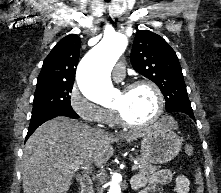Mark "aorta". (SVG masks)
Listing matches in <instances>:
<instances>
[{
	"instance_id": "1",
	"label": "aorta",
	"mask_w": 221,
	"mask_h": 193,
	"mask_svg": "<svg viewBox=\"0 0 221 193\" xmlns=\"http://www.w3.org/2000/svg\"><path fill=\"white\" fill-rule=\"evenodd\" d=\"M127 46L126 36L113 33L106 36L81 60L77 83L83 95L98 104H107L115 96L109 73ZM121 175L114 173L107 193H121Z\"/></svg>"
}]
</instances>
